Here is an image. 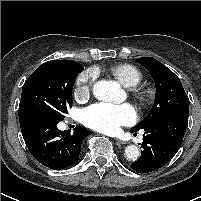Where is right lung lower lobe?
<instances>
[{
  "label": "right lung lower lobe",
  "instance_id": "98d812e1",
  "mask_svg": "<svg viewBox=\"0 0 201 201\" xmlns=\"http://www.w3.org/2000/svg\"><path fill=\"white\" fill-rule=\"evenodd\" d=\"M59 121L39 115L20 123L30 153L38 162L54 170L76 163L83 139L91 134L81 126H76L73 133L61 131L57 128Z\"/></svg>",
  "mask_w": 201,
  "mask_h": 201
}]
</instances>
